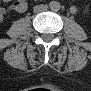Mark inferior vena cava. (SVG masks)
Wrapping results in <instances>:
<instances>
[{
  "mask_svg": "<svg viewBox=\"0 0 91 91\" xmlns=\"http://www.w3.org/2000/svg\"><path fill=\"white\" fill-rule=\"evenodd\" d=\"M48 9V6L47 5H37V6H35L34 7V12L35 13H40V12H44V11H46Z\"/></svg>",
  "mask_w": 91,
  "mask_h": 91,
  "instance_id": "602c4592",
  "label": "inferior vena cava"
}]
</instances>
